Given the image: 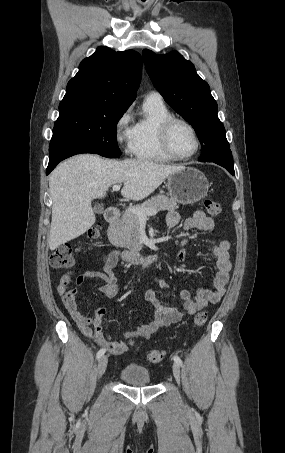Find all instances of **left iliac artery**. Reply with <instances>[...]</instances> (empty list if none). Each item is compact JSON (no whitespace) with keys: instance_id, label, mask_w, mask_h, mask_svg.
Segmentation results:
<instances>
[{"instance_id":"44dca946","label":"left iliac artery","mask_w":285,"mask_h":453,"mask_svg":"<svg viewBox=\"0 0 285 453\" xmlns=\"http://www.w3.org/2000/svg\"><path fill=\"white\" fill-rule=\"evenodd\" d=\"M173 359H174L175 363H177L178 365L182 366V360L180 359V357L174 356Z\"/></svg>"}]
</instances>
